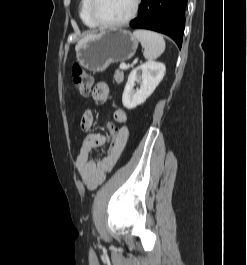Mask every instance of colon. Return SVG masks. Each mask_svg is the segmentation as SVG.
<instances>
[{
	"instance_id": "5ec220e1",
	"label": "colon",
	"mask_w": 247,
	"mask_h": 265,
	"mask_svg": "<svg viewBox=\"0 0 247 265\" xmlns=\"http://www.w3.org/2000/svg\"><path fill=\"white\" fill-rule=\"evenodd\" d=\"M73 82L76 90L82 97L90 95L93 85L92 76L85 71L79 64H75L72 68ZM107 129L111 137V143L106 156L110 157L114 154L119 143V128L111 121H108Z\"/></svg>"
}]
</instances>
